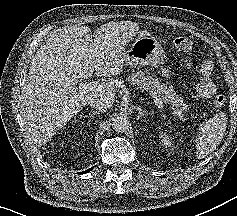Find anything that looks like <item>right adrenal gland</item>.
Segmentation results:
<instances>
[{
	"label": "right adrenal gland",
	"instance_id": "obj_1",
	"mask_svg": "<svg viewBox=\"0 0 237 216\" xmlns=\"http://www.w3.org/2000/svg\"><path fill=\"white\" fill-rule=\"evenodd\" d=\"M98 114L97 111H91L88 115H85L84 117H88L91 116L92 118L94 117V115Z\"/></svg>",
	"mask_w": 237,
	"mask_h": 216
}]
</instances>
